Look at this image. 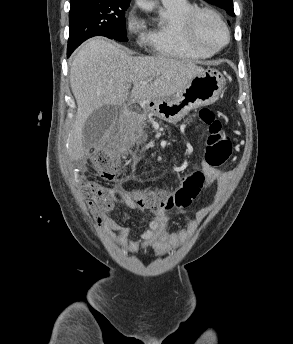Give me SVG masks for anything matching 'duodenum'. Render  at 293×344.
<instances>
[{
	"instance_id": "410a0bca",
	"label": "duodenum",
	"mask_w": 293,
	"mask_h": 344,
	"mask_svg": "<svg viewBox=\"0 0 293 344\" xmlns=\"http://www.w3.org/2000/svg\"><path fill=\"white\" fill-rule=\"evenodd\" d=\"M140 110V109H139ZM126 112H127V115L128 116H136L139 114V112H134L132 109H131V106H128L126 108Z\"/></svg>"
}]
</instances>
